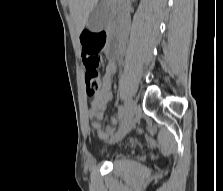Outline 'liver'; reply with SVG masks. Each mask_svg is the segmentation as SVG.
<instances>
[{"instance_id":"6515ba94","label":"liver","mask_w":223,"mask_h":191,"mask_svg":"<svg viewBox=\"0 0 223 191\" xmlns=\"http://www.w3.org/2000/svg\"><path fill=\"white\" fill-rule=\"evenodd\" d=\"M99 0H68L71 15L75 21L78 32H81L87 22L90 12L96 7ZM116 6L118 0H109Z\"/></svg>"}]
</instances>
